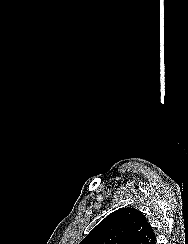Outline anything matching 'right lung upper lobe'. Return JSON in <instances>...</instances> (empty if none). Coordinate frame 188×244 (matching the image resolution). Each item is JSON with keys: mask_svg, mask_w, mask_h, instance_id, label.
I'll return each instance as SVG.
<instances>
[{"mask_svg": "<svg viewBox=\"0 0 188 244\" xmlns=\"http://www.w3.org/2000/svg\"><path fill=\"white\" fill-rule=\"evenodd\" d=\"M156 239L146 217L135 208H122L103 219L80 244H152Z\"/></svg>", "mask_w": 188, "mask_h": 244, "instance_id": "obj_1", "label": "right lung upper lobe"}]
</instances>
